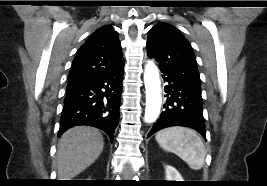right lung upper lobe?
I'll return each instance as SVG.
<instances>
[{"mask_svg": "<svg viewBox=\"0 0 267 186\" xmlns=\"http://www.w3.org/2000/svg\"><path fill=\"white\" fill-rule=\"evenodd\" d=\"M123 64L117 32L108 25L97 29L79 48L68 79L105 71Z\"/></svg>", "mask_w": 267, "mask_h": 186, "instance_id": "right-lung-upper-lobe-1", "label": "right lung upper lobe"}]
</instances>
